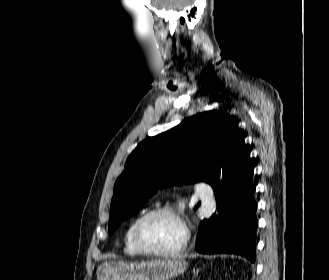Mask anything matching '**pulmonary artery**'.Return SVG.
Here are the masks:
<instances>
[{
	"label": "pulmonary artery",
	"instance_id": "obj_1",
	"mask_svg": "<svg viewBox=\"0 0 329 280\" xmlns=\"http://www.w3.org/2000/svg\"><path fill=\"white\" fill-rule=\"evenodd\" d=\"M211 186L207 183H201L198 187V193L204 202H208L211 196Z\"/></svg>",
	"mask_w": 329,
	"mask_h": 280
}]
</instances>
